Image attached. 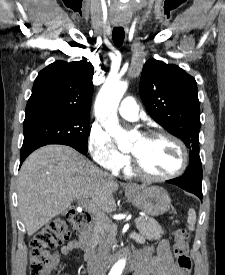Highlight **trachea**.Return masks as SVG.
Instances as JSON below:
<instances>
[{"label":"trachea","mask_w":225,"mask_h":275,"mask_svg":"<svg viewBox=\"0 0 225 275\" xmlns=\"http://www.w3.org/2000/svg\"><path fill=\"white\" fill-rule=\"evenodd\" d=\"M113 42L117 47H121L124 41V29L122 27H115L112 33Z\"/></svg>","instance_id":"1"}]
</instances>
